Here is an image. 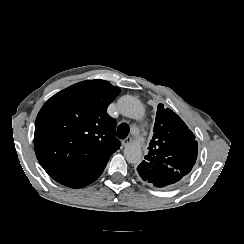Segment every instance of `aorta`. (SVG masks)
Here are the masks:
<instances>
[{
	"label": "aorta",
	"instance_id": "1",
	"mask_svg": "<svg viewBox=\"0 0 244 244\" xmlns=\"http://www.w3.org/2000/svg\"><path fill=\"white\" fill-rule=\"evenodd\" d=\"M118 107L121 113L132 119H141L144 116L142 103L129 95L123 96L118 100ZM124 156L131 164H139L142 161V149L138 141L128 144L124 149Z\"/></svg>",
	"mask_w": 244,
	"mask_h": 244
}]
</instances>
